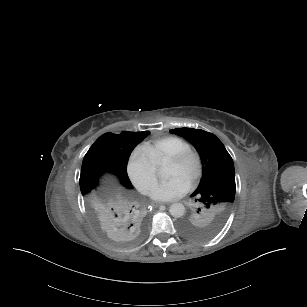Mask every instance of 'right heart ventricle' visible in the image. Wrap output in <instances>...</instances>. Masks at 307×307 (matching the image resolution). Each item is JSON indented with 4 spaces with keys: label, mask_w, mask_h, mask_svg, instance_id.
<instances>
[{
    "label": "right heart ventricle",
    "mask_w": 307,
    "mask_h": 307,
    "mask_svg": "<svg viewBox=\"0 0 307 307\" xmlns=\"http://www.w3.org/2000/svg\"><path fill=\"white\" fill-rule=\"evenodd\" d=\"M191 144L192 142L189 138L178 135H167L164 137L162 146L156 154L158 158H167L169 155L175 154Z\"/></svg>",
    "instance_id": "obj_1"
}]
</instances>
